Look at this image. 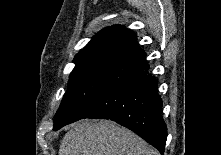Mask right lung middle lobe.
<instances>
[{"instance_id": "right-lung-middle-lobe-1", "label": "right lung middle lobe", "mask_w": 221, "mask_h": 155, "mask_svg": "<svg viewBox=\"0 0 221 155\" xmlns=\"http://www.w3.org/2000/svg\"><path fill=\"white\" fill-rule=\"evenodd\" d=\"M124 57L100 55L74 61L68 89L54 119V130L80 120L89 109L114 66Z\"/></svg>"}]
</instances>
